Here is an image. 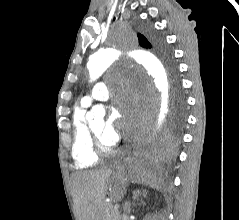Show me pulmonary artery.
Instances as JSON below:
<instances>
[{
	"mask_svg": "<svg viewBox=\"0 0 239 220\" xmlns=\"http://www.w3.org/2000/svg\"><path fill=\"white\" fill-rule=\"evenodd\" d=\"M109 99V90L104 82L93 86L91 91L81 98V104L89 106L93 101H106Z\"/></svg>",
	"mask_w": 239,
	"mask_h": 220,
	"instance_id": "obj_1",
	"label": "pulmonary artery"
}]
</instances>
